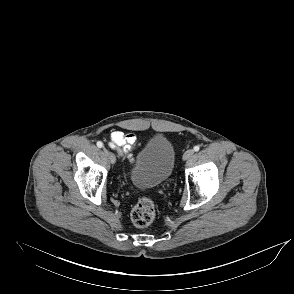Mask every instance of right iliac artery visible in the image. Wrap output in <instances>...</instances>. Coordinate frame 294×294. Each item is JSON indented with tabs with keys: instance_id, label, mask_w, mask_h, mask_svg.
<instances>
[{
	"instance_id": "right-iliac-artery-1",
	"label": "right iliac artery",
	"mask_w": 294,
	"mask_h": 294,
	"mask_svg": "<svg viewBox=\"0 0 294 294\" xmlns=\"http://www.w3.org/2000/svg\"><path fill=\"white\" fill-rule=\"evenodd\" d=\"M97 146H98L99 148H102V147H103V143H102L101 141H98V142H97Z\"/></svg>"
}]
</instances>
